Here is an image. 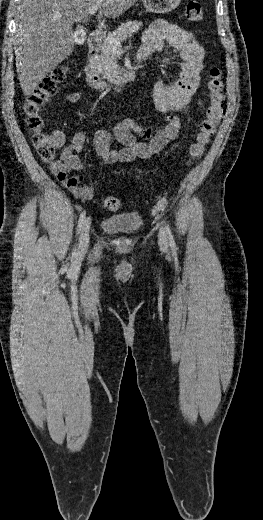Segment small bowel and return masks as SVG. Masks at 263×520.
I'll list each match as a JSON object with an SVG mask.
<instances>
[{
	"instance_id": "small-bowel-1",
	"label": "small bowel",
	"mask_w": 263,
	"mask_h": 520,
	"mask_svg": "<svg viewBox=\"0 0 263 520\" xmlns=\"http://www.w3.org/2000/svg\"><path fill=\"white\" fill-rule=\"evenodd\" d=\"M165 48L179 52L183 65L175 80L167 83L159 79L153 86V102L156 109L164 114V125L154 129L133 119H124L115 125L113 134L103 129L97 130L93 136V145L102 166L149 159L177 138L181 121L176 113L188 108L199 87L205 51L192 32L165 20H156L143 34L139 55L148 57ZM80 98V93H71L67 101L76 103ZM136 136L145 141H138ZM52 138L58 148L62 149L60 157L49 165L52 174L77 198L92 199L95 183L85 185L80 174L82 165L79 153L86 142V131H77L67 145L65 134L61 131H54ZM114 139L123 147L114 149Z\"/></svg>"
}]
</instances>
